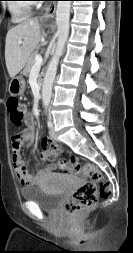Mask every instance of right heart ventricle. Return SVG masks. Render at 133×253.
<instances>
[{
	"label": "right heart ventricle",
	"mask_w": 133,
	"mask_h": 253,
	"mask_svg": "<svg viewBox=\"0 0 133 253\" xmlns=\"http://www.w3.org/2000/svg\"><path fill=\"white\" fill-rule=\"evenodd\" d=\"M14 22L26 20L31 15V4L24 0H13L8 5Z\"/></svg>",
	"instance_id": "1"
}]
</instances>
